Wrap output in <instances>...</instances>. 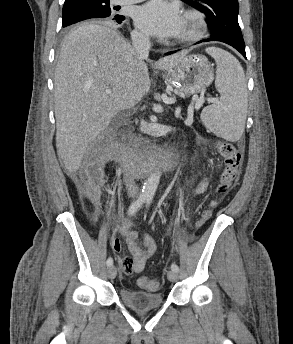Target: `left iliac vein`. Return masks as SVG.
I'll list each match as a JSON object with an SVG mask.
<instances>
[{
  "instance_id": "left-iliac-vein-1",
  "label": "left iliac vein",
  "mask_w": 293,
  "mask_h": 344,
  "mask_svg": "<svg viewBox=\"0 0 293 344\" xmlns=\"http://www.w3.org/2000/svg\"><path fill=\"white\" fill-rule=\"evenodd\" d=\"M167 277L171 282H176L179 278L178 273L173 270L168 271Z\"/></svg>"
}]
</instances>
